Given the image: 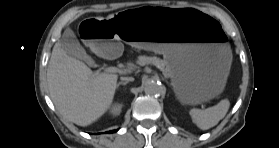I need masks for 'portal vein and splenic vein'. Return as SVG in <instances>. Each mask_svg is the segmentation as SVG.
I'll use <instances>...</instances> for the list:
<instances>
[{"mask_svg":"<svg viewBox=\"0 0 279 148\" xmlns=\"http://www.w3.org/2000/svg\"><path fill=\"white\" fill-rule=\"evenodd\" d=\"M105 72H108V73H120L122 74L123 73V70L117 68V67H107L104 69ZM201 108H204V105L201 104Z\"/></svg>","mask_w":279,"mask_h":148,"instance_id":"obj_1","label":"portal vein and splenic vein"}]
</instances>
